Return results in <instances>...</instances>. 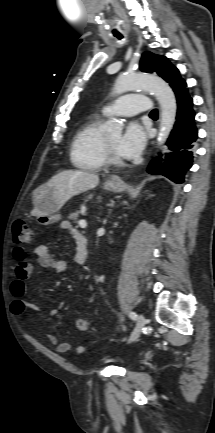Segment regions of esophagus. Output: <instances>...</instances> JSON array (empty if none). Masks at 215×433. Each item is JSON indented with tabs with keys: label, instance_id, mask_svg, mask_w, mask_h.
I'll list each match as a JSON object with an SVG mask.
<instances>
[{
	"label": "esophagus",
	"instance_id": "esophagus-1",
	"mask_svg": "<svg viewBox=\"0 0 215 433\" xmlns=\"http://www.w3.org/2000/svg\"><path fill=\"white\" fill-rule=\"evenodd\" d=\"M108 183L111 185H120L122 184V180L119 177L114 176L108 180Z\"/></svg>",
	"mask_w": 215,
	"mask_h": 433
}]
</instances>
